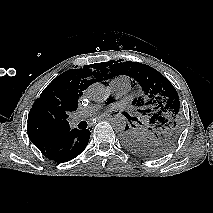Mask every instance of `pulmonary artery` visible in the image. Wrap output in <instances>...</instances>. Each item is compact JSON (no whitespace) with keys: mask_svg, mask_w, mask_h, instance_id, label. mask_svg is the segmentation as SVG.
<instances>
[{"mask_svg":"<svg viewBox=\"0 0 213 213\" xmlns=\"http://www.w3.org/2000/svg\"><path fill=\"white\" fill-rule=\"evenodd\" d=\"M110 91L114 96H121L126 94L131 89V81L127 77H117L110 81ZM101 108V104H93L88 107L82 108L77 114H75L71 122L73 124L78 123L82 119L86 118L87 116L92 115L96 111Z\"/></svg>","mask_w":213,"mask_h":213,"instance_id":"1","label":"pulmonary artery"}]
</instances>
